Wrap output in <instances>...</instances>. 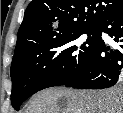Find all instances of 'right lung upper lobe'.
Segmentation results:
<instances>
[{
  "instance_id": "1",
  "label": "right lung upper lobe",
  "mask_w": 123,
  "mask_h": 113,
  "mask_svg": "<svg viewBox=\"0 0 123 113\" xmlns=\"http://www.w3.org/2000/svg\"><path fill=\"white\" fill-rule=\"evenodd\" d=\"M123 0H33L25 10L16 47L74 29H89Z\"/></svg>"
}]
</instances>
